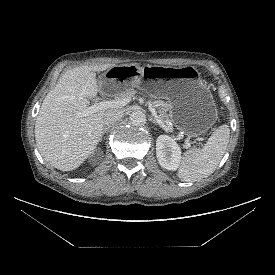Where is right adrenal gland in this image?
Listing matches in <instances>:
<instances>
[{"instance_id": "obj_1", "label": "right adrenal gland", "mask_w": 275, "mask_h": 275, "mask_svg": "<svg viewBox=\"0 0 275 275\" xmlns=\"http://www.w3.org/2000/svg\"><path fill=\"white\" fill-rule=\"evenodd\" d=\"M109 126L108 127H104L103 128V131H102V135H104L108 130H109ZM102 137V136H101Z\"/></svg>"}]
</instances>
